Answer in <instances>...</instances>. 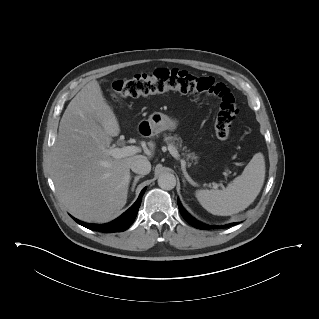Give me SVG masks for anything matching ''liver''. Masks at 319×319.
<instances>
[{
    "label": "liver",
    "instance_id": "liver-1",
    "mask_svg": "<svg viewBox=\"0 0 319 319\" xmlns=\"http://www.w3.org/2000/svg\"><path fill=\"white\" fill-rule=\"evenodd\" d=\"M118 120L98 81L86 84L67 106L52 150L57 194L76 218L108 222L127 201L131 163L143 155L115 159L105 153L118 136Z\"/></svg>",
    "mask_w": 319,
    "mask_h": 319
}]
</instances>
